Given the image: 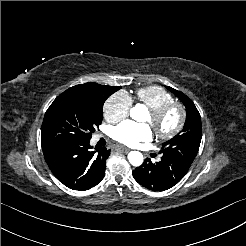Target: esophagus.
<instances>
[{
    "instance_id": "obj_1",
    "label": "esophagus",
    "mask_w": 246,
    "mask_h": 246,
    "mask_svg": "<svg viewBox=\"0 0 246 246\" xmlns=\"http://www.w3.org/2000/svg\"><path fill=\"white\" fill-rule=\"evenodd\" d=\"M116 151H119V152H122V153H128L130 151V149L129 148H126V147L120 146V147H118L116 149Z\"/></svg>"
}]
</instances>
